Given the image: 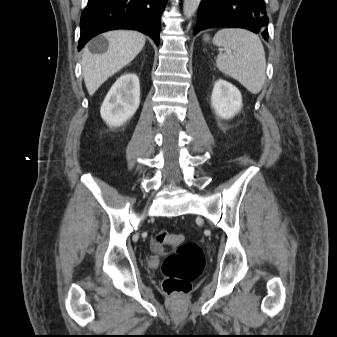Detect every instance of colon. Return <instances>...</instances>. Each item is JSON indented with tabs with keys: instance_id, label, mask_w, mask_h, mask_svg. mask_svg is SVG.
<instances>
[{
	"instance_id": "1",
	"label": "colon",
	"mask_w": 337,
	"mask_h": 337,
	"mask_svg": "<svg viewBox=\"0 0 337 337\" xmlns=\"http://www.w3.org/2000/svg\"><path fill=\"white\" fill-rule=\"evenodd\" d=\"M165 246H176V250L162 263L163 291L173 297L186 295L204 268V252L198 244L184 241L181 234L161 230L154 237L153 247L160 250Z\"/></svg>"
}]
</instances>
